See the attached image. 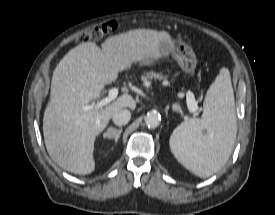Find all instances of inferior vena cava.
<instances>
[{"label": "inferior vena cava", "instance_id": "obj_1", "mask_svg": "<svg viewBox=\"0 0 275 215\" xmlns=\"http://www.w3.org/2000/svg\"><path fill=\"white\" fill-rule=\"evenodd\" d=\"M131 118V113L127 109H119L112 115V120L117 126L126 125Z\"/></svg>", "mask_w": 275, "mask_h": 215}]
</instances>
